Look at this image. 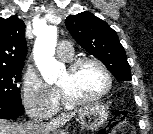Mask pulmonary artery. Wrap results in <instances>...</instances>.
<instances>
[{"instance_id":"pulmonary-artery-1","label":"pulmonary artery","mask_w":153,"mask_h":134,"mask_svg":"<svg viewBox=\"0 0 153 134\" xmlns=\"http://www.w3.org/2000/svg\"><path fill=\"white\" fill-rule=\"evenodd\" d=\"M57 55L64 59V60H70L73 56V46L69 41H61L59 42L57 46Z\"/></svg>"}]
</instances>
